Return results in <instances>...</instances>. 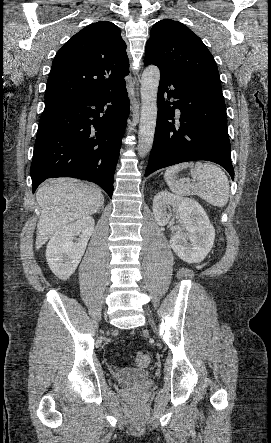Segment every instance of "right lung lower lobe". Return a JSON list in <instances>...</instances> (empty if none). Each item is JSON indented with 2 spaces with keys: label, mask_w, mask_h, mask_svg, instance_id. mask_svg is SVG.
Instances as JSON below:
<instances>
[{
  "label": "right lung lower lobe",
  "mask_w": 271,
  "mask_h": 443,
  "mask_svg": "<svg viewBox=\"0 0 271 443\" xmlns=\"http://www.w3.org/2000/svg\"><path fill=\"white\" fill-rule=\"evenodd\" d=\"M128 115L126 85L45 104L31 164L33 193L47 178L74 177L98 184L112 198Z\"/></svg>",
  "instance_id": "obj_1"
}]
</instances>
